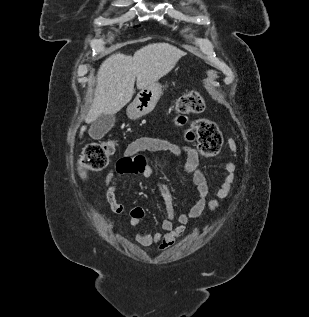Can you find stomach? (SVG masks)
<instances>
[{
    "label": "stomach",
    "mask_w": 309,
    "mask_h": 317,
    "mask_svg": "<svg viewBox=\"0 0 309 317\" xmlns=\"http://www.w3.org/2000/svg\"><path fill=\"white\" fill-rule=\"evenodd\" d=\"M162 88V85L156 83L141 89L134 101L127 107V116L135 120L151 112L161 97Z\"/></svg>",
    "instance_id": "stomach-1"
}]
</instances>
